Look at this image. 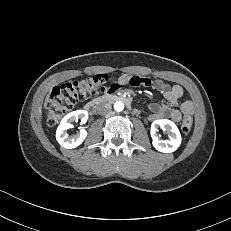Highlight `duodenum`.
Instances as JSON below:
<instances>
[{"instance_id": "obj_1", "label": "duodenum", "mask_w": 231, "mask_h": 231, "mask_svg": "<svg viewBox=\"0 0 231 231\" xmlns=\"http://www.w3.org/2000/svg\"><path fill=\"white\" fill-rule=\"evenodd\" d=\"M107 101H123L127 105H130L132 103L131 98L128 96L121 95V94L108 93V94H105V95L87 103L85 105L84 109L88 114L93 115L97 111L99 105L101 103L107 102Z\"/></svg>"}]
</instances>
